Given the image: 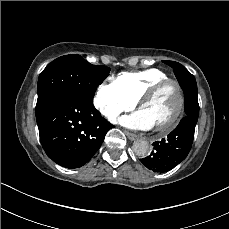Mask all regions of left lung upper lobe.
<instances>
[{"mask_svg":"<svg viewBox=\"0 0 229 229\" xmlns=\"http://www.w3.org/2000/svg\"><path fill=\"white\" fill-rule=\"evenodd\" d=\"M163 62L173 68L175 76L183 91L197 87L195 77L183 65L174 61Z\"/></svg>","mask_w":229,"mask_h":229,"instance_id":"left-lung-upper-lobe-1","label":"left lung upper lobe"}]
</instances>
